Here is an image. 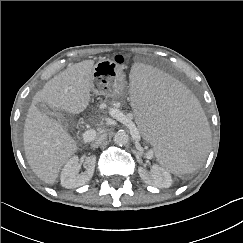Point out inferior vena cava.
Wrapping results in <instances>:
<instances>
[{"label": "inferior vena cava", "mask_w": 243, "mask_h": 243, "mask_svg": "<svg viewBox=\"0 0 243 243\" xmlns=\"http://www.w3.org/2000/svg\"><path fill=\"white\" fill-rule=\"evenodd\" d=\"M94 132H95V131H94ZM94 136H95V134H94ZM105 138H106L105 135H101L99 138L93 140V142H92V146H93V147H98V146L102 143V141H103Z\"/></svg>", "instance_id": "obj_1"}]
</instances>
